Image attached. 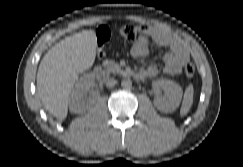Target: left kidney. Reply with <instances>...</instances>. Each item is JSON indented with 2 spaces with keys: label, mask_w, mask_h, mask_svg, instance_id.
<instances>
[{
  "label": "left kidney",
  "mask_w": 243,
  "mask_h": 167,
  "mask_svg": "<svg viewBox=\"0 0 243 167\" xmlns=\"http://www.w3.org/2000/svg\"><path fill=\"white\" fill-rule=\"evenodd\" d=\"M152 87L156 90L162 89L165 98L157 97L154 105L163 112H172L177 109L182 98V88L172 80L160 79L152 82Z\"/></svg>",
  "instance_id": "1"
}]
</instances>
